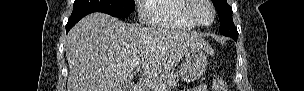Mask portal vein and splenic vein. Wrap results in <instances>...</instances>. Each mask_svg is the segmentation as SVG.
<instances>
[{
    "mask_svg": "<svg viewBox=\"0 0 304 91\" xmlns=\"http://www.w3.org/2000/svg\"><path fill=\"white\" fill-rule=\"evenodd\" d=\"M140 63H141L140 58H136L131 62V67L136 68L137 66H139ZM163 89L165 88H160V91H164Z\"/></svg>",
    "mask_w": 304,
    "mask_h": 91,
    "instance_id": "portal-vein-and-splenic-vein-1",
    "label": "portal vein and splenic vein"
}]
</instances>
